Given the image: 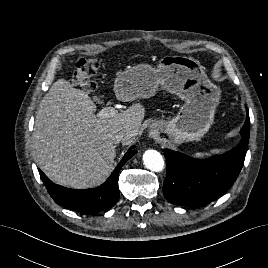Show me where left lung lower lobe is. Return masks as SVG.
I'll return each instance as SVG.
<instances>
[{
	"instance_id": "0a47b994",
	"label": "left lung lower lobe",
	"mask_w": 268,
	"mask_h": 268,
	"mask_svg": "<svg viewBox=\"0 0 268 268\" xmlns=\"http://www.w3.org/2000/svg\"><path fill=\"white\" fill-rule=\"evenodd\" d=\"M242 127L241 141L232 150L205 160L164 150L167 175L163 194L176 205L202 206L223 195L233 184L244 164L249 142L250 119Z\"/></svg>"
}]
</instances>
